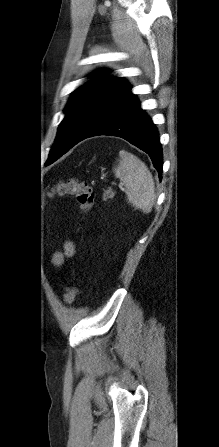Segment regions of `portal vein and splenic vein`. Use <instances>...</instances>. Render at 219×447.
<instances>
[{
	"label": "portal vein and splenic vein",
	"instance_id": "obj_1",
	"mask_svg": "<svg viewBox=\"0 0 219 447\" xmlns=\"http://www.w3.org/2000/svg\"><path fill=\"white\" fill-rule=\"evenodd\" d=\"M119 188H120V189H123V184H119Z\"/></svg>",
	"mask_w": 219,
	"mask_h": 447
}]
</instances>
